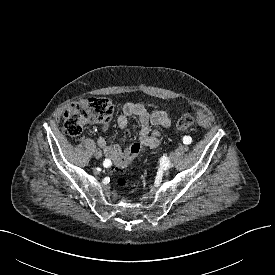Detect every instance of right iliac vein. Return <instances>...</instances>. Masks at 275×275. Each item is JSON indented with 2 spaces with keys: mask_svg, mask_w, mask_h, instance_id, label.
<instances>
[{
  "mask_svg": "<svg viewBox=\"0 0 275 275\" xmlns=\"http://www.w3.org/2000/svg\"><path fill=\"white\" fill-rule=\"evenodd\" d=\"M94 155H95V157L97 158V159H100L101 157H102V152L100 151V150H95V153H94Z\"/></svg>",
  "mask_w": 275,
  "mask_h": 275,
  "instance_id": "63e3f726",
  "label": "right iliac vein"
}]
</instances>
